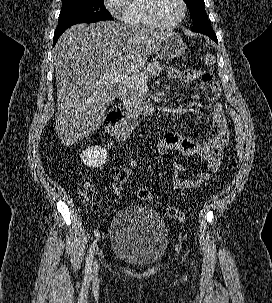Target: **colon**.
<instances>
[{
    "label": "colon",
    "mask_w": 272,
    "mask_h": 303,
    "mask_svg": "<svg viewBox=\"0 0 272 303\" xmlns=\"http://www.w3.org/2000/svg\"><path fill=\"white\" fill-rule=\"evenodd\" d=\"M215 62V57L211 54H206L203 56V63L206 65H212ZM227 112L232 118L236 126V143H235V155L236 160L241 161L244 156V146H245V128L244 123L240 115L232 108H227ZM143 164V159L133 158L126 165L117 169L114 179H113V190L117 197H121L126 181L129 179L132 172ZM94 192L91 188L83 186L81 190L82 199L94 207L92 203ZM137 197L144 202H152L153 197L150 191L146 188H140L137 190ZM166 214L169 218L176 219L179 221L185 220V214L180 209L168 206L166 207Z\"/></svg>",
    "instance_id": "1"
}]
</instances>
